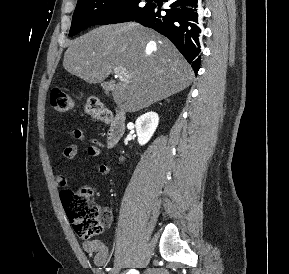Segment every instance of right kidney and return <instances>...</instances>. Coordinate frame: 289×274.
I'll return each mask as SVG.
<instances>
[{
    "label": "right kidney",
    "mask_w": 289,
    "mask_h": 274,
    "mask_svg": "<svg viewBox=\"0 0 289 274\" xmlns=\"http://www.w3.org/2000/svg\"><path fill=\"white\" fill-rule=\"evenodd\" d=\"M159 123V116L156 112H147L135 122V128L138 136V143L145 145L153 136Z\"/></svg>",
    "instance_id": "1"
}]
</instances>
